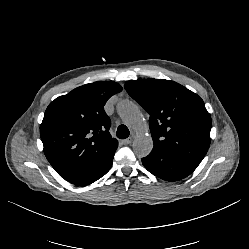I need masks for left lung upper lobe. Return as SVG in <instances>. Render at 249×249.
<instances>
[{"label":"left lung upper lobe","mask_w":249,"mask_h":249,"mask_svg":"<svg viewBox=\"0 0 249 249\" xmlns=\"http://www.w3.org/2000/svg\"><path fill=\"white\" fill-rule=\"evenodd\" d=\"M124 87L150 114L153 150L202 161L210 145L212 121L197 94L164 79L132 80Z\"/></svg>","instance_id":"left-lung-upper-lobe-1"}]
</instances>
